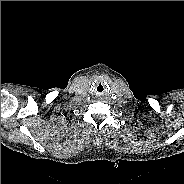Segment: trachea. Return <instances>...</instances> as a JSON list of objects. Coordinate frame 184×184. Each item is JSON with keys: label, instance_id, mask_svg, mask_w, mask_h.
<instances>
[{"label": "trachea", "instance_id": "3493384b", "mask_svg": "<svg viewBox=\"0 0 184 184\" xmlns=\"http://www.w3.org/2000/svg\"><path fill=\"white\" fill-rule=\"evenodd\" d=\"M105 89H106L105 84L102 81H98L94 86V90L98 94L104 93Z\"/></svg>", "mask_w": 184, "mask_h": 184}]
</instances>
